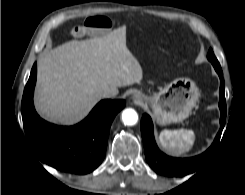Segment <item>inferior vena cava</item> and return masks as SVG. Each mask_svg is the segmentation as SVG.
<instances>
[{"instance_id":"602c4592","label":"inferior vena cava","mask_w":245,"mask_h":195,"mask_svg":"<svg viewBox=\"0 0 245 195\" xmlns=\"http://www.w3.org/2000/svg\"><path fill=\"white\" fill-rule=\"evenodd\" d=\"M116 95V92L112 90H105L101 93V97L103 98L115 97Z\"/></svg>"}]
</instances>
